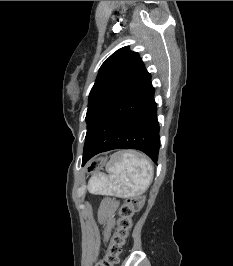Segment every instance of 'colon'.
I'll list each match as a JSON object with an SVG mask.
<instances>
[{
	"instance_id": "1",
	"label": "colon",
	"mask_w": 233,
	"mask_h": 266,
	"mask_svg": "<svg viewBox=\"0 0 233 266\" xmlns=\"http://www.w3.org/2000/svg\"><path fill=\"white\" fill-rule=\"evenodd\" d=\"M144 196L136 195L124 200L118 210V219L114 234L107 247L103 258L95 266H114L119 261V256L132 227L133 215L143 206Z\"/></svg>"
}]
</instances>
